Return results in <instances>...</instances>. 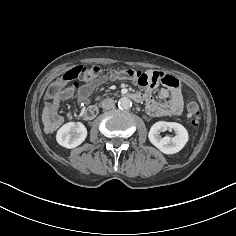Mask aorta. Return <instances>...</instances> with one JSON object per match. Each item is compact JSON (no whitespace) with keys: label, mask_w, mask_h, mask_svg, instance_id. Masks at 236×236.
<instances>
[{"label":"aorta","mask_w":236,"mask_h":236,"mask_svg":"<svg viewBox=\"0 0 236 236\" xmlns=\"http://www.w3.org/2000/svg\"><path fill=\"white\" fill-rule=\"evenodd\" d=\"M132 106V102L128 97H122L118 101V107L123 110H128Z\"/></svg>","instance_id":"762f6f07"}]
</instances>
